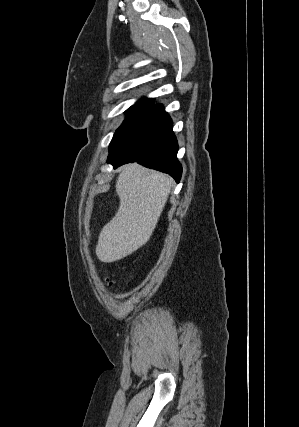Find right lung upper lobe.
Masks as SVG:
<instances>
[{
  "label": "right lung upper lobe",
  "mask_w": 299,
  "mask_h": 427,
  "mask_svg": "<svg viewBox=\"0 0 299 427\" xmlns=\"http://www.w3.org/2000/svg\"><path fill=\"white\" fill-rule=\"evenodd\" d=\"M149 101H152L151 99H144L143 101H141V102H149Z\"/></svg>",
  "instance_id": "1"
}]
</instances>
